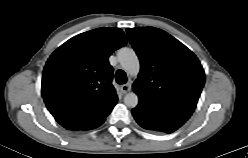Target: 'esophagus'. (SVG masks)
<instances>
[{
	"label": "esophagus",
	"mask_w": 248,
	"mask_h": 158,
	"mask_svg": "<svg viewBox=\"0 0 248 158\" xmlns=\"http://www.w3.org/2000/svg\"><path fill=\"white\" fill-rule=\"evenodd\" d=\"M130 89H131L130 83H126V84H123V85L121 86V91H122L123 93L129 92Z\"/></svg>",
	"instance_id": "esophagus-1"
}]
</instances>
